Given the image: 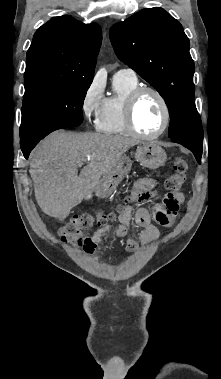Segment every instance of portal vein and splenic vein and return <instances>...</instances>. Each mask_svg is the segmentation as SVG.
Returning a JSON list of instances; mask_svg holds the SVG:
<instances>
[{"label": "portal vein and splenic vein", "instance_id": "18ae733b", "mask_svg": "<svg viewBox=\"0 0 221 379\" xmlns=\"http://www.w3.org/2000/svg\"><path fill=\"white\" fill-rule=\"evenodd\" d=\"M89 160H90V158L88 157L86 161H89Z\"/></svg>", "mask_w": 221, "mask_h": 379}]
</instances>
